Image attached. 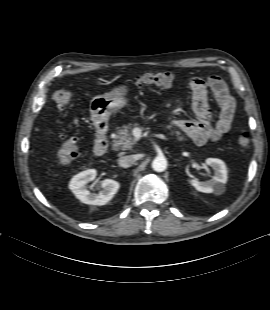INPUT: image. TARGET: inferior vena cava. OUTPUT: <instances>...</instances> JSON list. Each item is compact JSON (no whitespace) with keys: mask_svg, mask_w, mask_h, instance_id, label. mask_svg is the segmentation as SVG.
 I'll use <instances>...</instances> for the list:
<instances>
[{"mask_svg":"<svg viewBox=\"0 0 270 310\" xmlns=\"http://www.w3.org/2000/svg\"><path fill=\"white\" fill-rule=\"evenodd\" d=\"M135 162L133 155L122 156L118 159V164L120 167L128 168L132 166Z\"/></svg>","mask_w":270,"mask_h":310,"instance_id":"obj_1","label":"inferior vena cava"}]
</instances>
